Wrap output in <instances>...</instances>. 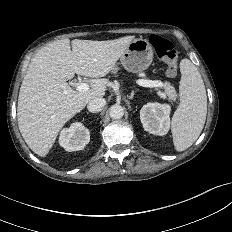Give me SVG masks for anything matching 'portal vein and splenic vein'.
<instances>
[{
    "label": "portal vein and splenic vein",
    "instance_id": "18ae733b",
    "mask_svg": "<svg viewBox=\"0 0 232 232\" xmlns=\"http://www.w3.org/2000/svg\"><path fill=\"white\" fill-rule=\"evenodd\" d=\"M138 84L140 86L147 87V88L163 87V83L158 80L140 79L138 80ZM76 89L77 91L85 92L89 90V85L87 83H77Z\"/></svg>",
    "mask_w": 232,
    "mask_h": 232
}]
</instances>
